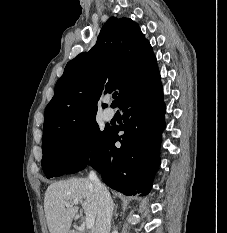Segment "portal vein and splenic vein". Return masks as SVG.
<instances>
[{"mask_svg": "<svg viewBox=\"0 0 227 233\" xmlns=\"http://www.w3.org/2000/svg\"><path fill=\"white\" fill-rule=\"evenodd\" d=\"M78 201H74L73 203L67 202L65 204L66 207H70L72 204H78ZM94 222H95V217L92 216L91 214H86V219H85V225L87 229H91L94 226Z\"/></svg>", "mask_w": 227, "mask_h": 233, "instance_id": "portal-vein-and-splenic-vein-1", "label": "portal vein and splenic vein"}]
</instances>
